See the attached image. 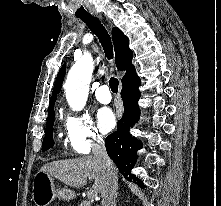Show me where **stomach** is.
I'll list each match as a JSON object with an SVG mask.
<instances>
[{"instance_id":"obj_1","label":"stomach","mask_w":221,"mask_h":206,"mask_svg":"<svg viewBox=\"0 0 221 206\" xmlns=\"http://www.w3.org/2000/svg\"><path fill=\"white\" fill-rule=\"evenodd\" d=\"M56 197L72 199L75 193L70 189L58 187L55 179L46 173H37L32 187V198L36 206H47Z\"/></svg>"}]
</instances>
